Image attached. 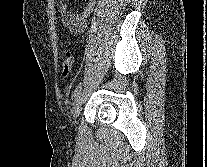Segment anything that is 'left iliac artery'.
I'll return each mask as SVG.
<instances>
[{
  "label": "left iliac artery",
  "mask_w": 207,
  "mask_h": 167,
  "mask_svg": "<svg viewBox=\"0 0 207 167\" xmlns=\"http://www.w3.org/2000/svg\"><path fill=\"white\" fill-rule=\"evenodd\" d=\"M81 89H82V83L79 82L78 85L76 86V88H75L73 94H72V98H73V99H76V97L80 94Z\"/></svg>",
  "instance_id": "1"
}]
</instances>
